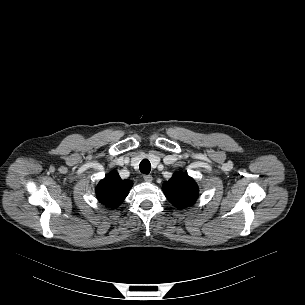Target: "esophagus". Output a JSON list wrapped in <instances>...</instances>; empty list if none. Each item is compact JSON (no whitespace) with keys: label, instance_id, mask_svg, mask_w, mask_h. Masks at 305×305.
<instances>
[{"label":"esophagus","instance_id":"esophagus-1","mask_svg":"<svg viewBox=\"0 0 305 305\" xmlns=\"http://www.w3.org/2000/svg\"><path fill=\"white\" fill-rule=\"evenodd\" d=\"M143 179H144L146 182H152L153 177H152L151 175L145 174V175L143 176Z\"/></svg>","mask_w":305,"mask_h":305}]
</instances>
